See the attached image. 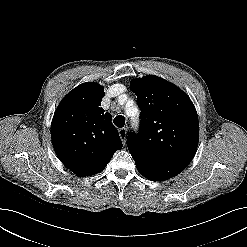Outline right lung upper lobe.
<instances>
[{
    "label": "right lung upper lobe",
    "mask_w": 247,
    "mask_h": 247,
    "mask_svg": "<svg viewBox=\"0 0 247 247\" xmlns=\"http://www.w3.org/2000/svg\"><path fill=\"white\" fill-rule=\"evenodd\" d=\"M104 88L83 83L58 105L51 123V139L61 162L78 176L104 168L122 148L119 133L103 110Z\"/></svg>",
    "instance_id": "1"
}]
</instances>
